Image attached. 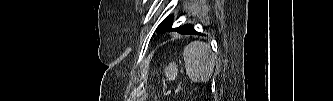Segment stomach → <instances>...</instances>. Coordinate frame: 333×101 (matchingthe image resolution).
Listing matches in <instances>:
<instances>
[{
  "instance_id": "0dacf381",
  "label": "stomach",
  "mask_w": 333,
  "mask_h": 101,
  "mask_svg": "<svg viewBox=\"0 0 333 101\" xmlns=\"http://www.w3.org/2000/svg\"><path fill=\"white\" fill-rule=\"evenodd\" d=\"M177 66L175 63H170L166 68H165V75L168 80H174L177 75Z\"/></svg>"
}]
</instances>
